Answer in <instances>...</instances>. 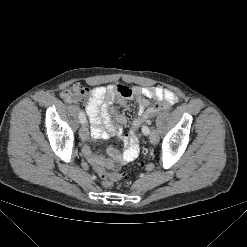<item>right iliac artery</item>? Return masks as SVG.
<instances>
[{
	"instance_id": "right-iliac-artery-1",
	"label": "right iliac artery",
	"mask_w": 247,
	"mask_h": 247,
	"mask_svg": "<svg viewBox=\"0 0 247 247\" xmlns=\"http://www.w3.org/2000/svg\"><path fill=\"white\" fill-rule=\"evenodd\" d=\"M79 120L82 124L86 123V116L83 111L79 113Z\"/></svg>"
}]
</instances>
